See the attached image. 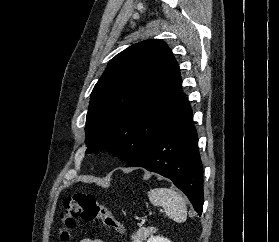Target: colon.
I'll return each mask as SVG.
<instances>
[{
	"instance_id": "colon-1",
	"label": "colon",
	"mask_w": 279,
	"mask_h": 242,
	"mask_svg": "<svg viewBox=\"0 0 279 242\" xmlns=\"http://www.w3.org/2000/svg\"><path fill=\"white\" fill-rule=\"evenodd\" d=\"M79 219L83 221L101 220L106 227L121 233L125 232L124 225L107 207L100 204L94 195L75 193L63 201V210L60 214L61 242H69L70 231L76 227Z\"/></svg>"
}]
</instances>
